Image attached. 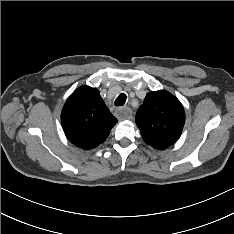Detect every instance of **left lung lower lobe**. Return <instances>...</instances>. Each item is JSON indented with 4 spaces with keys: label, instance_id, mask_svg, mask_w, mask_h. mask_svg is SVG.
Returning a JSON list of instances; mask_svg holds the SVG:
<instances>
[{
    "label": "left lung lower lobe",
    "instance_id": "1",
    "mask_svg": "<svg viewBox=\"0 0 234 234\" xmlns=\"http://www.w3.org/2000/svg\"><path fill=\"white\" fill-rule=\"evenodd\" d=\"M173 143L170 142H166V141H161L157 144L154 145V148L158 149V150H164L166 148H168L169 146H171Z\"/></svg>",
    "mask_w": 234,
    "mask_h": 234
}]
</instances>
